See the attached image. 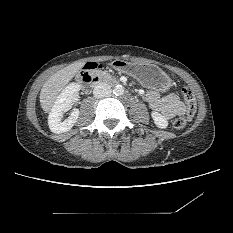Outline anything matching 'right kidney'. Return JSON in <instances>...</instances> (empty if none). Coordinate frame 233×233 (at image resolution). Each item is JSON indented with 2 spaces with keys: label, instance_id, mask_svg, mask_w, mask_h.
<instances>
[{
  "label": "right kidney",
  "instance_id": "right-kidney-1",
  "mask_svg": "<svg viewBox=\"0 0 233 233\" xmlns=\"http://www.w3.org/2000/svg\"><path fill=\"white\" fill-rule=\"evenodd\" d=\"M80 90L76 83L69 84L57 97L55 104L48 117V125L53 133L69 131L76 123L79 110L74 108L70 116L62 121L64 111L72 104V99Z\"/></svg>",
  "mask_w": 233,
  "mask_h": 233
}]
</instances>
